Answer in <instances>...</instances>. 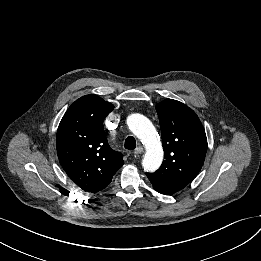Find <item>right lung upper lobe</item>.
Returning a JSON list of instances; mask_svg holds the SVG:
<instances>
[{
	"mask_svg": "<svg viewBox=\"0 0 261 261\" xmlns=\"http://www.w3.org/2000/svg\"><path fill=\"white\" fill-rule=\"evenodd\" d=\"M113 108L97 95H85L68 108L59 124V162L85 192L106 188L124 164L122 154L109 146L103 128V121Z\"/></svg>",
	"mask_w": 261,
	"mask_h": 261,
	"instance_id": "obj_1",
	"label": "right lung upper lobe"
}]
</instances>
